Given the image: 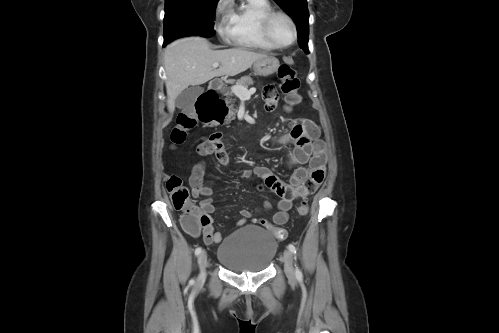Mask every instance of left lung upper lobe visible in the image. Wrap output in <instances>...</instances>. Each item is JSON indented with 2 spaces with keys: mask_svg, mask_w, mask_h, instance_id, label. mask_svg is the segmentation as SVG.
<instances>
[{
  "mask_svg": "<svg viewBox=\"0 0 499 333\" xmlns=\"http://www.w3.org/2000/svg\"><path fill=\"white\" fill-rule=\"evenodd\" d=\"M275 2L293 18L297 25L298 43L308 52L309 12L307 0H275Z\"/></svg>",
  "mask_w": 499,
  "mask_h": 333,
  "instance_id": "obj_1",
  "label": "left lung upper lobe"
}]
</instances>
